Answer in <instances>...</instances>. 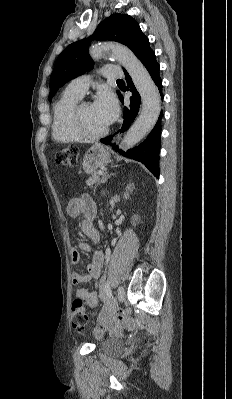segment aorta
I'll use <instances>...</instances> for the list:
<instances>
[{
    "label": "aorta",
    "instance_id": "1",
    "mask_svg": "<svg viewBox=\"0 0 232 399\" xmlns=\"http://www.w3.org/2000/svg\"><path fill=\"white\" fill-rule=\"evenodd\" d=\"M90 53L95 59L109 53L129 73L141 96V112L122 139L121 148L127 150L146 137L155 126L161 106L158 89L147 69L127 47L120 44L103 43L93 46Z\"/></svg>",
    "mask_w": 232,
    "mask_h": 399
}]
</instances>
